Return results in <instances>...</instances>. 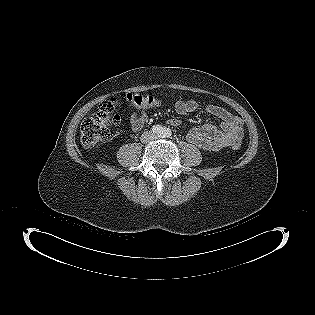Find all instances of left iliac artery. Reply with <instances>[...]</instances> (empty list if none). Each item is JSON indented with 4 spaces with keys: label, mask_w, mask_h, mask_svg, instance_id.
I'll use <instances>...</instances> for the list:
<instances>
[{
    "label": "left iliac artery",
    "mask_w": 315,
    "mask_h": 315,
    "mask_svg": "<svg viewBox=\"0 0 315 315\" xmlns=\"http://www.w3.org/2000/svg\"><path fill=\"white\" fill-rule=\"evenodd\" d=\"M171 136H172V131H171V129H169V128H163L160 137H163V138H166V137H167V138H168V137H171Z\"/></svg>",
    "instance_id": "obj_1"
}]
</instances>
